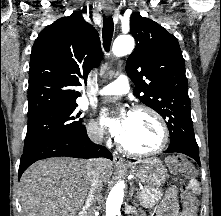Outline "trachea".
<instances>
[{
	"label": "trachea",
	"mask_w": 221,
	"mask_h": 216,
	"mask_svg": "<svg viewBox=\"0 0 221 216\" xmlns=\"http://www.w3.org/2000/svg\"><path fill=\"white\" fill-rule=\"evenodd\" d=\"M113 31H114V23L112 17L104 18L102 37H103V46L106 52L110 51Z\"/></svg>",
	"instance_id": "obj_1"
}]
</instances>
